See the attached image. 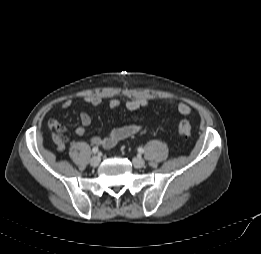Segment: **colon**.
<instances>
[{
    "mask_svg": "<svg viewBox=\"0 0 261 254\" xmlns=\"http://www.w3.org/2000/svg\"><path fill=\"white\" fill-rule=\"evenodd\" d=\"M178 131L181 136L188 139L191 137L192 127L187 120H182V121H180V123L178 125Z\"/></svg>",
    "mask_w": 261,
    "mask_h": 254,
    "instance_id": "colon-1",
    "label": "colon"
}]
</instances>
